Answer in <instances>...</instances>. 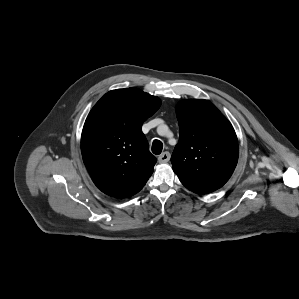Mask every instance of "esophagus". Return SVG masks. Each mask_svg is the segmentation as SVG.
<instances>
[{
  "instance_id": "34e87169",
  "label": "esophagus",
  "mask_w": 299,
  "mask_h": 299,
  "mask_svg": "<svg viewBox=\"0 0 299 299\" xmlns=\"http://www.w3.org/2000/svg\"><path fill=\"white\" fill-rule=\"evenodd\" d=\"M170 153L169 152H163L161 155L158 157V162L159 163H167L170 160Z\"/></svg>"
}]
</instances>
